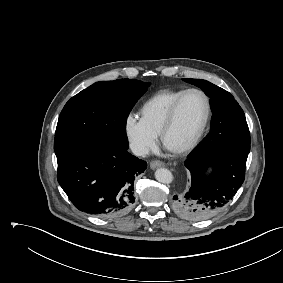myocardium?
Masks as SVG:
<instances>
[{
    "mask_svg": "<svg viewBox=\"0 0 283 283\" xmlns=\"http://www.w3.org/2000/svg\"><path fill=\"white\" fill-rule=\"evenodd\" d=\"M192 93H197L199 95H201L205 101V105H206V112H205V116H204V120L198 130V132L196 133V135L194 136V138L185 146L179 148V149H175V150H170L171 152H173L174 154H184L187 153L191 150H193L198 143L200 142L201 138L203 137L207 126L209 124L210 118H211V101L209 96L201 89L198 88H190L185 90L177 99L176 101L173 103V105L171 106L166 119L160 129L159 132V138L161 143L166 147L165 145V137L166 134L168 133V131L171 129L172 125L174 124L178 109L182 103V101L184 100V98Z\"/></svg>",
    "mask_w": 283,
    "mask_h": 283,
    "instance_id": "1",
    "label": "myocardium"
}]
</instances>
